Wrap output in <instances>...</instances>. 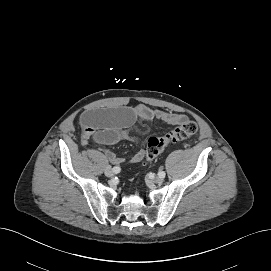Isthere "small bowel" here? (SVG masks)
<instances>
[{"instance_id":"1","label":"small bowel","mask_w":271,"mask_h":271,"mask_svg":"<svg viewBox=\"0 0 271 271\" xmlns=\"http://www.w3.org/2000/svg\"><path fill=\"white\" fill-rule=\"evenodd\" d=\"M185 119H187L186 116L182 114L153 109L143 104L133 107L86 111L80 118L82 127L81 143L83 145H88L91 142L115 144L122 140H132L128 130L135 122L140 120H158L176 125ZM106 154L112 163H124V160L117 157L113 152L107 151ZM144 156L145 150H139L129 160V163H137Z\"/></svg>"}]
</instances>
